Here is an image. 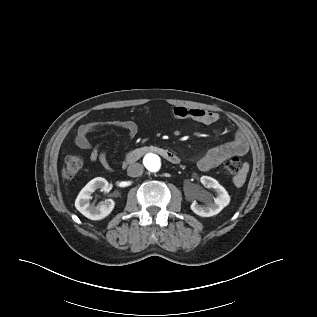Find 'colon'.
Returning a JSON list of instances; mask_svg holds the SVG:
<instances>
[{
	"mask_svg": "<svg viewBox=\"0 0 317 317\" xmlns=\"http://www.w3.org/2000/svg\"><path fill=\"white\" fill-rule=\"evenodd\" d=\"M83 161L78 155H69L65 158L64 174L67 178H73L82 169ZM224 170L229 175L241 178L244 173V164L236 157L229 158L224 163Z\"/></svg>",
	"mask_w": 317,
	"mask_h": 317,
	"instance_id": "obj_1",
	"label": "colon"
}]
</instances>
